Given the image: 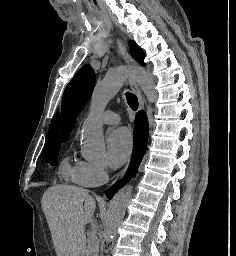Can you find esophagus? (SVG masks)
<instances>
[{
    "instance_id": "obj_1",
    "label": "esophagus",
    "mask_w": 236,
    "mask_h": 256,
    "mask_svg": "<svg viewBox=\"0 0 236 256\" xmlns=\"http://www.w3.org/2000/svg\"><path fill=\"white\" fill-rule=\"evenodd\" d=\"M117 45H118L119 53H120L121 57L123 58V60H125L126 62H129V55L127 53L125 43L122 40H117ZM128 81H129L130 87L132 88L133 92L135 93V95L138 98L139 110L142 111L144 109V100H143L141 91L132 76L129 77ZM128 168H129V164L120 172L116 181L125 176V174L128 171Z\"/></svg>"
}]
</instances>
